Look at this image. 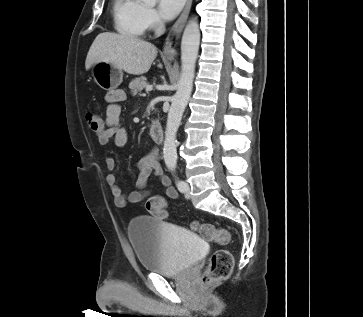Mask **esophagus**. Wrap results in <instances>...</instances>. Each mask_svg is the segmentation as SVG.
<instances>
[{
  "instance_id": "esophagus-1",
  "label": "esophagus",
  "mask_w": 363,
  "mask_h": 317,
  "mask_svg": "<svg viewBox=\"0 0 363 317\" xmlns=\"http://www.w3.org/2000/svg\"><path fill=\"white\" fill-rule=\"evenodd\" d=\"M191 5H192V0H187L183 12L172 26V29L168 37L166 38L163 48V55L167 58H174L177 54V46L179 38L187 21Z\"/></svg>"
}]
</instances>
